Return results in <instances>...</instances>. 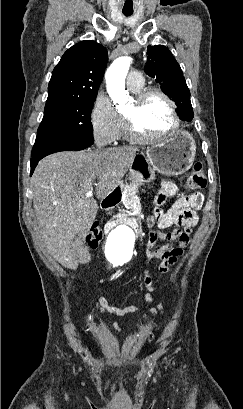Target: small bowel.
Instances as JSON below:
<instances>
[{
    "instance_id": "1",
    "label": "small bowel",
    "mask_w": 243,
    "mask_h": 409,
    "mask_svg": "<svg viewBox=\"0 0 243 409\" xmlns=\"http://www.w3.org/2000/svg\"><path fill=\"white\" fill-rule=\"evenodd\" d=\"M171 197H177L176 201L169 209L164 210L162 205L167 198ZM202 202L203 196L200 193L179 195L177 186L171 181L162 182L160 192L155 198L154 217L160 230L150 234L146 250L148 260L143 271V283L148 290V293L145 295V300L148 303L154 304L151 308V313L154 316L163 313V304L155 299L152 278L148 266L155 261H159L160 272L168 273L171 271V267L183 254L184 247L189 241L192 229L198 224L199 218L196 211L200 209ZM172 226H176L177 228L171 232L162 231ZM158 240L165 241L167 244L154 248ZM172 242H176L177 244L172 245ZM96 306L101 312L107 310L118 316L139 310V308L134 305L125 307L110 306L103 297L97 299ZM147 317L148 316L145 315L143 319H147ZM110 325L118 332H122V329L116 322H110Z\"/></svg>"
}]
</instances>
